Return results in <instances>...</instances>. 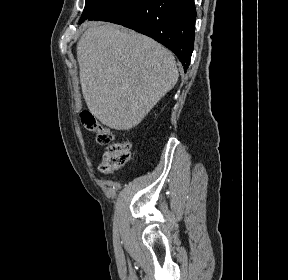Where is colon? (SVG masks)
I'll return each instance as SVG.
<instances>
[{
	"label": "colon",
	"instance_id": "5ec220e1",
	"mask_svg": "<svg viewBox=\"0 0 288 280\" xmlns=\"http://www.w3.org/2000/svg\"><path fill=\"white\" fill-rule=\"evenodd\" d=\"M84 127L96 135L97 141L105 145L99 170L103 174H109L121 168L130 158L132 144L129 140H116L114 132L102 125L89 111L80 114Z\"/></svg>",
	"mask_w": 288,
	"mask_h": 280
}]
</instances>
